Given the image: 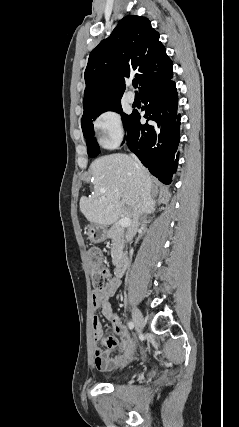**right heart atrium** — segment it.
Listing matches in <instances>:
<instances>
[{
  "label": "right heart atrium",
  "instance_id": "obj_1",
  "mask_svg": "<svg viewBox=\"0 0 239 427\" xmlns=\"http://www.w3.org/2000/svg\"><path fill=\"white\" fill-rule=\"evenodd\" d=\"M94 125L104 147L114 149L123 142L125 130L117 111H104L96 118Z\"/></svg>",
  "mask_w": 239,
  "mask_h": 427
}]
</instances>
